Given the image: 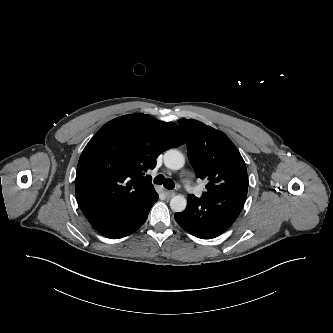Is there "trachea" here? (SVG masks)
<instances>
[{
  "mask_svg": "<svg viewBox=\"0 0 333 333\" xmlns=\"http://www.w3.org/2000/svg\"><path fill=\"white\" fill-rule=\"evenodd\" d=\"M154 183L159 185L163 184L166 189H174L175 187L173 180L165 178L162 174H159L154 178Z\"/></svg>",
  "mask_w": 333,
  "mask_h": 333,
  "instance_id": "obj_1",
  "label": "trachea"
}]
</instances>
